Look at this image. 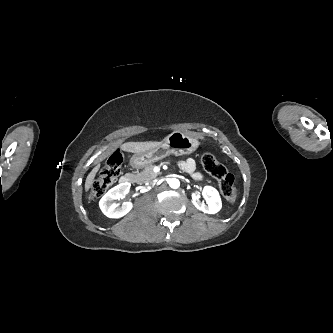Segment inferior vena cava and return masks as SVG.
Here are the masks:
<instances>
[{"label":"inferior vena cava","mask_w":333,"mask_h":333,"mask_svg":"<svg viewBox=\"0 0 333 333\" xmlns=\"http://www.w3.org/2000/svg\"><path fill=\"white\" fill-rule=\"evenodd\" d=\"M151 184H152V185L155 184V181L151 182Z\"/></svg>","instance_id":"inferior-vena-cava-1"}]
</instances>
